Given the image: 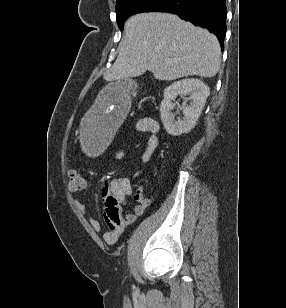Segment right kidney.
<instances>
[{
  "instance_id": "right-kidney-1",
  "label": "right kidney",
  "mask_w": 286,
  "mask_h": 308,
  "mask_svg": "<svg viewBox=\"0 0 286 308\" xmlns=\"http://www.w3.org/2000/svg\"><path fill=\"white\" fill-rule=\"evenodd\" d=\"M209 94V87L199 79H183L169 85L164 90V99L160 105L161 120L167 133L179 136L190 132L195 127ZM177 95H190L191 102L189 105L183 103V119L176 120L171 110L174 108L172 101Z\"/></svg>"
}]
</instances>
